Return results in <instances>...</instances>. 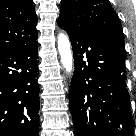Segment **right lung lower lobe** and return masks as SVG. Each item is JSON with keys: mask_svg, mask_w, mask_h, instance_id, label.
Here are the masks:
<instances>
[{"mask_svg": "<svg viewBox=\"0 0 136 136\" xmlns=\"http://www.w3.org/2000/svg\"><path fill=\"white\" fill-rule=\"evenodd\" d=\"M36 39L0 52V136H38Z\"/></svg>", "mask_w": 136, "mask_h": 136, "instance_id": "obj_1", "label": "right lung lower lobe"}]
</instances>
